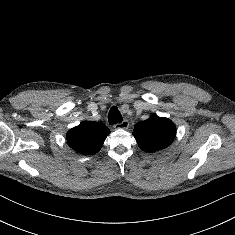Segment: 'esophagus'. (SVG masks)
Masks as SVG:
<instances>
[{"mask_svg":"<svg viewBox=\"0 0 235 235\" xmlns=\"http://www.w3.org/2000/svg\"><path fill=\"white\" fill-rule=\"evenodd\" d=\"M129 127L128 120H123L121 123H116L114 125L115 129H127Z\"/></svg>","mask_w":235,"mask_h":235,"instance_id":"34e87169","label":"esophagus"}]
</instances>
